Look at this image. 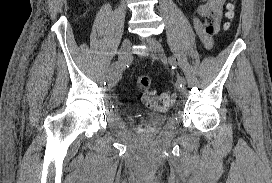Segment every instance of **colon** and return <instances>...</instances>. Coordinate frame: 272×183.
<instances>
[{
  "label": "colon",
  "instance_id": "colon-1",
  "mask_svg": "<svg viewBox=\"0 0 272 183\" xmlns=\"http://www.w3.org/2000/svg\"><path fill=\"white\" fill-rule=\"evenodd\" d=\"M236 4L230 2L227 4L226 16L229 21L235 16ZM152 79L148 75H140L136 80V86L141 92V98L144 104L159 111L167 110L174 103V95L171 93H162L157 95L151 90Z\"/></svg>",
  "mask_w": 272,
  "mask_h": 183
}]
</instances>
